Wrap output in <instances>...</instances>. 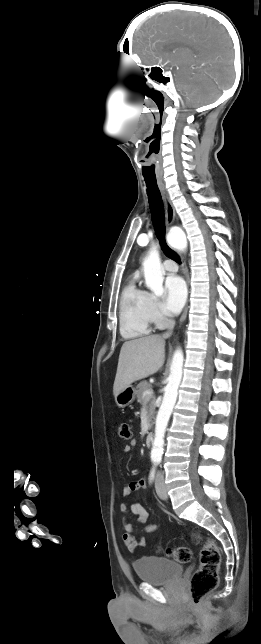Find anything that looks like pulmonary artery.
<instances>
[{
    "mask_svg": "<svg viewBox=\"0 0 261 644\" xmlns=\"http://www.w3.org/2000/svg\"><path fill=\"white\" fill-rule=\"evenodd\" d=\"M163 267L166 271L169 272H176L177 271V265L173 260H166L163 263Z\"/></svg>",
    "mask_w": 261,
    "mask_h": 644,
    "instance_id": "obj_1",
    "label": "pulmonary artery"
}]
</instances>
